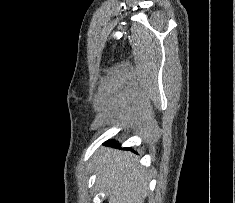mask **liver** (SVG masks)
I'll list each match as a JSON object with an SVG mask.
<instances>
[{
    "label": "liver",
    "instance_id": "obj_1",
    "mask_svg": "<svg viewBox=\"0 0 235 203\" xmlns=\"http://www.w3.org/2000/svg\"><path fill=\"white\" fill-rule=\"evenodd\" d=\"M95 164L97 183L109 203H144L148 181L132 153L101 148Z\"/></svg>",
    "mask_w": 235,
    "mask_h": 203
}]
</instances>
